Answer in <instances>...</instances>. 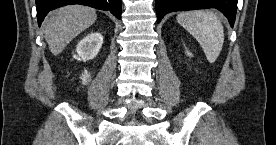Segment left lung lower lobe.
<instances>
[{"instance_id": "1", "label": "left lung lower lobe", "mask_w": 276, "mask_h": 145, "mask_svg": "<svg viewBox=\"0 0 276 145\" xmlns=\"http://www.w3.org/2000/svg\"><path fill=\"white\" fill-rule=\"evenodd\" d=\"M203 8H216L229 20L233 27L236 17L237 0H156L157 23L167 13Z\"/></svg>"}]
</instances>
